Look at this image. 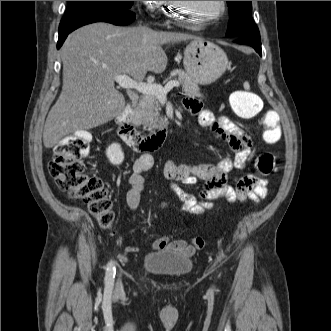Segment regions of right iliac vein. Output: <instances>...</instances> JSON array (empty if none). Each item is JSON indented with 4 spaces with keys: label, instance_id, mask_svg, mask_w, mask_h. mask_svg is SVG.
I'll list each match as a JSON object with an SVG mask.
<instances>
[{
    "label": "right iliac vein",
    "instance_id": "1",
    "mask_svg": "<svg viewBox=\"0 0 331 331\" xmlns=\"http://www.w3.org/2000/svg\"><path fill=\"white\" fill-rule=\"evenodd\" d=\"M116 291H117V293H120L122 291V284H121V282H117V284H116Z\"/></svg>",
    "mask_w": 331,
    "mask_h": 331
}]
</instances>
